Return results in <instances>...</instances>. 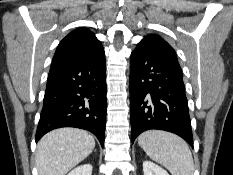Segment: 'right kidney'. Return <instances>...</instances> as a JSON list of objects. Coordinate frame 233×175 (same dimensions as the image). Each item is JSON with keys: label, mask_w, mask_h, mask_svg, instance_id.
<instances>
[{"label": "right kidney", "mask_w": 233, "mask_h": 175, "mask_svg": "<svg viewBox=\"0 0 233 175\" xmlns=\"http://www.w3.org/2000/svg\"><path fill=\"white\" fill-rule=\"evenodd\" d=\"M68 175H92V166L84 164L73 169Z\"/></svg>", "instance_id": "obj_1"}]
</instances>
